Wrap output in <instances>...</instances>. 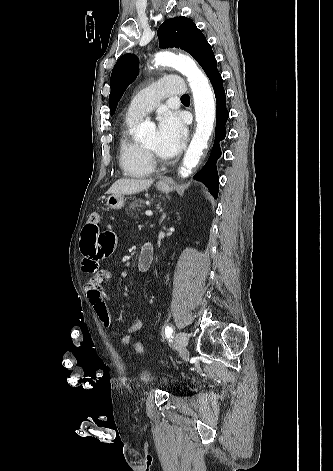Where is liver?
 <instances>
[{"mask_svg": "<svg viewBox=\"0 0 333 471\" xmlns=\"http://www.w3.org/2000/svg\"><path fill=\"white\" fill-rule=\"evenodd\" d=\"M153 179H119L108 190L110 194L129 195L149 188Z\"/></svg>", "mask_w": 333, "mask_h": 471, "instance_id": "6515ba94", "label": "liver"}]
</instances>
